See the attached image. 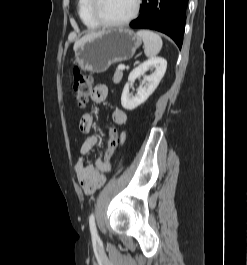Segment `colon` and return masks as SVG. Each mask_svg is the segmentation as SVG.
Wrapping results in <instances>:
<instances>
[{"instance_id":"5ec220e1","label":"colon","mask_w":247,"mask_h":265,"mask_svg":"<svg viewBox=\"0 0 247 265\" xmlns=\"http://www.w3.org/2000/svg\"><path fill=\"white\" fill-rule=\"evenodd\" d=\"M93 81L92 78L80 71L79 68L74 69V78H73V93L76 99L77 104L80 107H84L93 90ZM109 144L108 148L103 157L104 166L111 165V162L116 154L119 146L122 143L121 135L118 133V130L111 126L109 129Z\"/></svg>"}]
</instances>
